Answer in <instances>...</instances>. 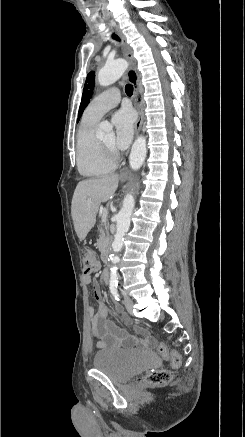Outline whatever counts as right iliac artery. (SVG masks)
I'll return each instance as SVG.
<instances>
[{
	"label": "right iliac artery",
	"instance_id": "1",
	"mask_svg": "<svg viewBox=\"0 0 245 437\" xmlns=\"http://www.w3.org/2000/svg\"><path fill=\"white\" fill-rule=\"evenodd\" d=\"M110 291H111V294L113 295V297L115 298V300H120V295H119L118 290H117V283L110 284Z\"/></svg>",
	"mask_w": 245,
	"mask_h": 437
}]
</instances>
